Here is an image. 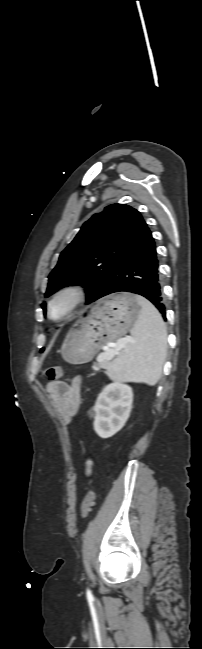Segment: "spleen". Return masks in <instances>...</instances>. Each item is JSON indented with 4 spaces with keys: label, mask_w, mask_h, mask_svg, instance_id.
<instances>
[{
    "label": "spleen",
    "mask_w": 202,
    "mask_h": 649,
    "mask_svg": "<svg viewBox=\"0 0 202 649\" xmlns=\"http://www.w3.org/2000/svg\"><path fill=\"white\" fill-rule=\"evenodd\" d=\"M140 314L131 329L133 342L126 343L113 361L108 376L112 380L155 385L160 379L167 350L165 323L150 301L136 295Z\"/></svg>",
    "instance_id": "spleen-1"
}]
</instances>
